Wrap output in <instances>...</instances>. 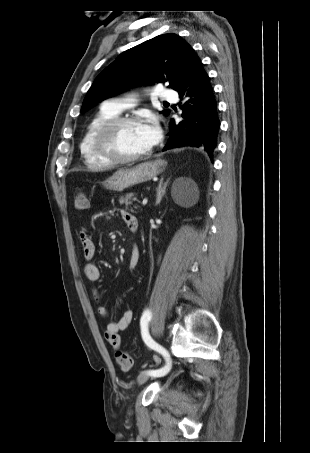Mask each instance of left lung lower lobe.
Instances as JSON below:
<instances>
[{
	"mask_svg": "<svg viewBox=\"0 0 310 453\" xmlns=\"http://www.w3.org/2000/svg\"><path fill=\"white\" fill-rule=\"evenodd\" d=\"M180 99L189 97L182 106V117L188 121L169 123L170 139L163 151L182 147H203L212 158L220 127L217 104L209 77L195 52L191 54L186 71L174 88Z\"/></svg>",
	"mask_w": 310,
	"mask_h": 453,
	"instance_id": "obj_1",
	"label": "left lung lower lobe"
}]
</instances>
